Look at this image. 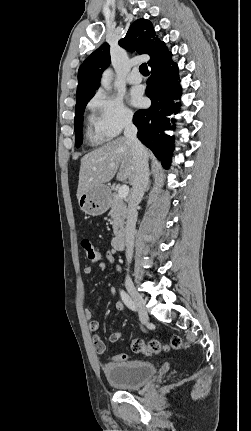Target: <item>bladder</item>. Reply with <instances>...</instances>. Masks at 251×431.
I'll list each match as a JSON object with an SVG mask.
<instances>
[{"mask_svg":"<svg viewBox=\"0 0 251 431\" xmlns=\"http://www.w3.org/2000/svg\"><path fill=\"white\" fill-rule=\"evenodd\" d=\"M109 384L122 390H135L145 385L156 373L152 362L144 360L113 361L103 366Z\"/></svg>","mask_w":251,"mask_h":431,"instance_id":"bladder-1","label":"bladder"}]
</instances>
